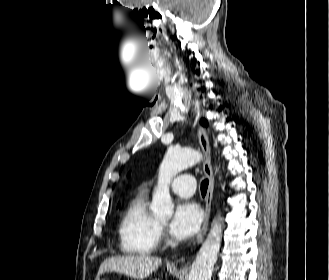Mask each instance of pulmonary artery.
Segmentation results:
<instances>
[{"instance_id":"pulmonary-artery-1","label":"pulmonary artery","mask_w":329,"mask_h":280,"mask_svg":"<svg viewBox=\"0 0 329 280\" xmlns=\"http://www.w3.org/2000/svg\"><path fill=\"white\" fill-rule=\"evenodd\" d=\"M195 178L190 174H181L173 179L171 183L172 191L180 197H190L195 191Z\"/></svg>"}]
</instances>
